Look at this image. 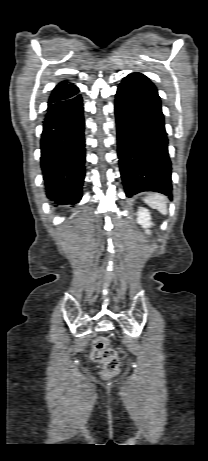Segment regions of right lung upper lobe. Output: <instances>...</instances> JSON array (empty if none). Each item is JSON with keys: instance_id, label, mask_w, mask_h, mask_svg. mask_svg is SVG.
Masks as SVG:
<instances>
[{"instance_id": "right-lung-upper-lobe-1", "label": "right lung upper lobe", "mask_w": 208, "mask_h": 461, "mask_svg": "<svg viewBox=\"0 0 208 461\" xmlns=\"http://www.w3.org/2000/svg\"><path fill=\"white\" fill-rule=\"evenodd\" d=\"M79 89L68 81H61L52 91L48 104L71 98L78 94Z\"/></svg>"}]
</instances>
